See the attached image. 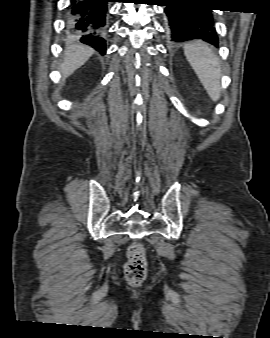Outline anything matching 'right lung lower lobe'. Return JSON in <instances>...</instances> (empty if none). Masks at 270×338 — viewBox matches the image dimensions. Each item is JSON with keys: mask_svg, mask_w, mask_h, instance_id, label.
<instances>
[{"mask_svg": "<svg viewBox=\"0 0 270 338\" xmlns=\"http://www.w3.org/2000/svg\"><path fill=\"white\" fill-rule=\"evenodd\" d=\"M114 0H71L67 35L105 54L107 4Z\"/></svg>", "mask_w": 270, "mask_h": 338, "instance_id": "98d812e1", "label": "right lung lower lobe"}]
</instances>
